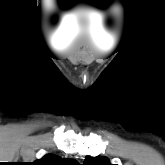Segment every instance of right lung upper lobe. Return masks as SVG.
<instances>
[{
	"mask_svg": "<svg viewBox=\"0 0 165 165\" xmlns=\"http://www.w3.org/2000/svg\"><path fill=\"white\" fill-rule=\"evenodd\" d=\"M32 165H80L76 160L62 159L48 154L44 158L31 163Z\"/></svg>",
	"mask_w": 165,
	"mask_h": 165,
	"instance_id": "1",
	"label": "right lung upper lobe"
}]
</instances>
